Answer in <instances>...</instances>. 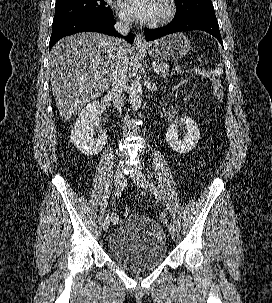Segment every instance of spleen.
Listing matches in <instances>:
<instances>
[{
    "instance_id": "spleen-1",
    "label": "spleen",
    "mask_w": 272,
    "mask_h": 303,
    "mask_svg": "<svg viewBox=\"0 0 272 303\" xmlns=\"http://www.w3.org/2000/svg\"><path fill=\"white\" fill-rule=\"evenodd\" d=\"M223 74V68L220 64L217 65V67L214 70L213 75L215 76H221Z\"/></svg>"
}]
</instances>
